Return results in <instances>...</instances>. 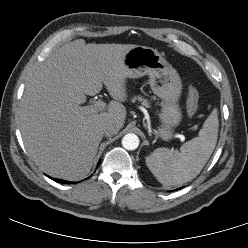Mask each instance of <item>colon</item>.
<instances>
[{
    "label": "colon",
    "instance_id": "obj_1",
    "mask_svg": "<svg viewBox=\"0 0 248 248\" xmlns=\"http://www.w3.org/2000/svg\"><path fill=\"white\" fill-rule=\"evenodd\" d=\"M199 95L197 90L190 86L187 94L186 108L188 115L192 116L196 113L198 109Z\"/></svg>",
    "mask_w": 248,
    "mask_h": 248
}]
</instances>
